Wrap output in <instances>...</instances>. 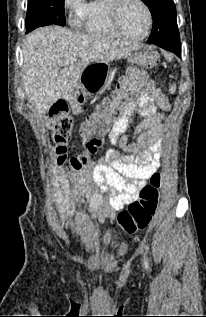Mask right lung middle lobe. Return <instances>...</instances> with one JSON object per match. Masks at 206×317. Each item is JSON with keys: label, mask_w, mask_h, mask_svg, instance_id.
Wrapping results in <instances>:
<instances>
[{"label": "right lung middle lobe", "mask_w": 206, "mask_h": 317, "mask_svg": "<svg viewBox=\"0 0 206 317\" xmlns=\"http://www.w3.org/2000/svg\"><path fill=\"white\" fill-rule=\"evenodd\" d=\"M51 24L65 25L64 0H28L26 33Z\"/></svg>", "instance_id": "right-lung-middle-lobe-1"}]
</instances>
